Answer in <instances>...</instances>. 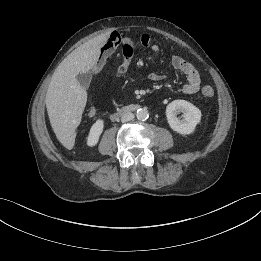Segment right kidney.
Instances as JSON below:
<instances>
[{
	"instance_id": "ca27d5eb",
	"label": "right kidney",
	"mask_w": 261,
	"mask_h": 261,
	"mask_svg": "<svg viewBox=\"0 0 261 261\" xmlns=\"http://www.w3.org/2000/svg\"><path fill=\"white\" fill-rule=\"evenodd\" d=\"M104 121L97 119L96 122L91 126L88 137L87 145L90 147L95 146L98 143L99 137L103 132Z\"/></svg>"
}]
</instances>
